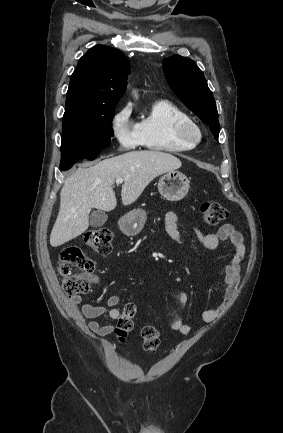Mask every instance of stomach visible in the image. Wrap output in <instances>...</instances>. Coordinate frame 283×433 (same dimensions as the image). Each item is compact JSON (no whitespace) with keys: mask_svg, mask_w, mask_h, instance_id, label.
Here are the masks:
<instances>
[{"mask_svg":"<svg viewBox=\"0 0 283 433\" xmlns=\"http://www.w3.org/2000/svg\"><path fill=\"white\" fill-rule=\"evenodd\" d=\"M189 188L190 184L187 176L183 172H179V170H170V172H166L159 178L158 190L167 200H181L186 196ZM145 221V210L143 208H134V210L126 212L124 217L119 219L118 225L124 235L133 237V235H138L142 231Z\"/></svg>","mask_w":283,"mask_h":433,"instance_id":"obj_1","label":"stomach"}]
</instances>
